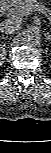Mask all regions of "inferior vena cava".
Instances as JSON below:
<instances>
[{
    "instance_id": "602c4592",
    "label": "inferior vena cava",
    "mask_w": 51,
    "mask_h": 153,
    "mask_svg": "<svg viewBox=\"0 0 51 153\" xmlns=\"http://www.w3.org/2000/svg\"><path fill=\"white\" fill-rule=\"evenodd\" d=\"M21 28V22L17 19H7L0 25V31L4 34H12Z\"/></svg>"
}]
</instances>
